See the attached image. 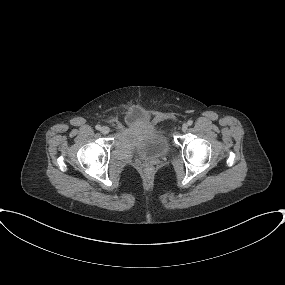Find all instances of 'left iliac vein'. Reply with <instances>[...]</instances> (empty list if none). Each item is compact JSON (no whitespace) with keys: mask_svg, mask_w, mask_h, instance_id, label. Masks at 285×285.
<instances>
[{"mask_svg":"<svg viewBox=\"0 0 285 285\" xmlns=\"http://www.w3.org/2000/svg\"><path fill=\"white\" fill-rule=\"evenodd\" d=\"M187 129H188V124L184 123L182 125V130L185 132V131H187Z\"/></svg>","mask_w":285,"mask_h":285,"instance_id":"left-iliac-vein-1","label":"left iliac vein"}]
</instances>
